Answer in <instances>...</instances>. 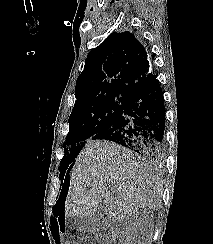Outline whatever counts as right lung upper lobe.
<instances>
[{
    "label": "right lung upper lobe",
    "instance_id": "right-lung-upper-lobe-1",
    "mask_svg": "<svg viewBox=\"0 0 213 244\" xmlns=\"http://www.w3.org/2000/svg\"><path fill=\"white\" fill-rule=\"evenodd\" d=\"M152 75L151 57L143 41L129 31L113 32L88 53L77 79L74 108L109 95L131 98Z\"/></svg>",
    "mask_w": 213,
    "mask_h": 244
}]
</instances>
